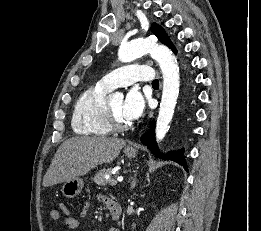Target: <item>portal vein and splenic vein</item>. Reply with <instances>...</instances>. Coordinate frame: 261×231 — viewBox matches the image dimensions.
I'll use <instances>...</instances> for the list:
<instances>
[{
    "label": "portal vein and splenic vein",
    "mask_w": 261,
    "mask_h": 231,
    "mask_svg": "<svg viewBox=\"0 0 261 231\" xmlns=\"http://www.w3.org/2000/svg\"><path fill=\"white\" fill-rule=\"evenodd\" d=\"M105 178H106V179H109V176H106ZM122 179H123L122 177H118L117 180L111 179V180L109 181V184H110L111 186H115L116 184H118V182L122 181Z\"/></svg>",
    "instance_id": "portal-vein-and-splenic-vein-1"
}]
</instances>
